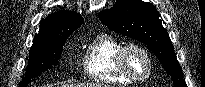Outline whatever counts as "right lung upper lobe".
I'll list each match as a JSON object with an SVG mask.
<instances>
[{
	"label": "right lung upper lobe",
	"instance_id": "obj_1",
	"mask_svg": "<svg viewBox=\"0 0 205 87\" xmlns=\"http://www.w3.org/2000/svg\"><path fill=\"white\" fill-rule=\"evenodd\" d=\"M82 22L83 18L78 13L67 10L53 13L40 23L34 42L68 37Z\"/></svg>",
	"mask_w": 205,
	"mask_h": 87
}]
</instances>
